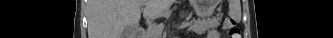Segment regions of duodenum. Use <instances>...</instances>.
<instances>
[{
    "label": "duodenum",
    "instance_id": "duodenum-1",
    "mask_svg": "<svg viewBox=\"0 0 333 38\" xmlns=\"http://www.w3.org/2000/svg\"><path fill=\"white\" fill-rule=\"evenodd\" d=\"M144 35V31L140 32V36L143 37Z\"/></svg>",
    "mask_w": 333,
    "mask_h": 38
}]
</instances>
